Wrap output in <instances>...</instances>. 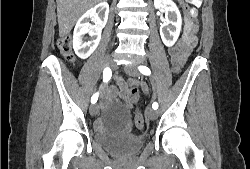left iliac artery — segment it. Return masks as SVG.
<instances>
[{"mask_svg":"<svg viewBox=\"0 0 250 169\" xmlns=\"http://www.w3.org/2000/svg\"><path fill=\"white\" fill-rule=\"evenodd\" d=\"M138 69H139V71H140L142 74H144V75H150V74H151L150 69H149L148 67H146V66H139ZM152 108H153L154 110H156V109L158 108V103H157V102H154V103L152 104Z\"/></svg>","mask_w":250,"mask_h":169,"instance_id":"1","label":"left iliac artery"}]
</instances>
